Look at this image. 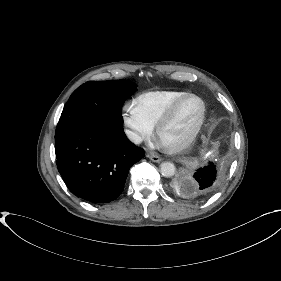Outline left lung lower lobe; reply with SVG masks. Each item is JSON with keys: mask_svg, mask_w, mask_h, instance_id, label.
Returning a JSON list of instances; mask_svg holds the SVG:
<instances>
[{"mask_svg": "<svg viewBox=\"0 0 281 281\" xmlns=\"http://www.w3.org/2000/svg\"><path fill=\"white\" fill-rule=\"evenodd\" d=\"M193 177L196 180L192 186V195L194 197H205L218 187V173L212 163L198 169Z\"/></svg>", "mask_w": 281, "mask_h": 281, "instance_id": "1", "label": "left lung lower lobe"}]
</instances>
